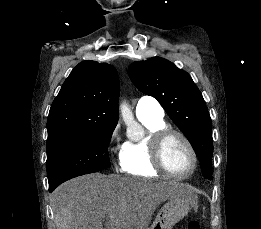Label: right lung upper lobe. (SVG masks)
<instances>
[{"label": "right lung upper lobe", "mask_w": 261, "mask_h": 229, "mask_svg": "<svg viewBox=\"0 0 261 229\" xmlns=\"http://www.w3.org/2000/svg\"><path fill=\"white\" fill-rule=\"evenodd\" d=\"M119 78L110 64L86 60L65 80L47 119V147L118 122Z\"/></svg>", "instance_id": "cb5924a9"}]
</instances>
